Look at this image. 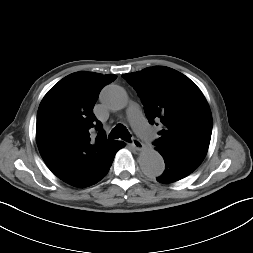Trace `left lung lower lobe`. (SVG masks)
I'll use <instances>...</instances> for the list:
<instances>
[{
    "label": "left lung lower lobe",
    "instance_id": "1",
    "mask_svg": "<svg viewBox=\"0 0 253 253\" xmlns=\"http://www.w3.org/2000/svg\"><path fill=\"white\" fill-rule=\"evenodd\" d=\"M165 162L164 173L157 178L161 183H172L192 173L201 163L188 159L174 158L163 155Z\"/></svg>",
    "mask_w": 253,
    "mask_h": 253
}]
</instances>
